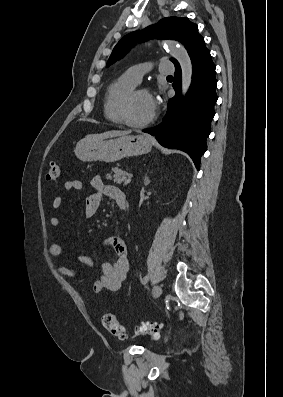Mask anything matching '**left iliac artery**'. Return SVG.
I'll return each mask as SVG.
<instances>
[{"label": "left iliac artery", "mask_w": 283, "mask_h": 397, "mask_svg": "<svg viewBox=\"0 0 283 397\" xmlns=\"http://www.w3.org/2000/svg\"><path fill=\"white\" fill-rule=\"evenodd\" d=\"M149 281V276H145L142 280V284H146Z\"/></svg>", "instance_id": "left-iliac-artery-1"}]
</instances>
